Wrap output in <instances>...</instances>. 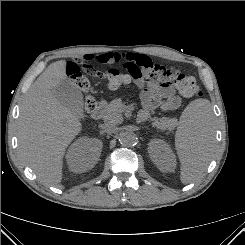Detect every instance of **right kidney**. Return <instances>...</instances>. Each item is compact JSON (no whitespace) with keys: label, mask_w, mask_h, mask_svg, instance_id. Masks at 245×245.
<instances>
[{"label":"right kidney","mask_w":245,"mask_h":245,"mask_svg":"<svg viewBox=\"0 0 245 245\" xmlns=\"http://www.w3.org/2000/svg\"><path fill=\"white\" fill-rule=\"evenodd\" d=\"M102 146V141L96 138L80 137L77 139L66 154L69 169L76 173L92 169L99 160Z\"/></svg>","instance_id":"right-kidney-1"}]
</instances>
